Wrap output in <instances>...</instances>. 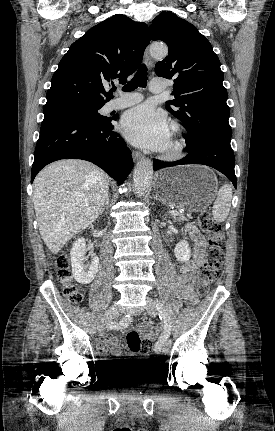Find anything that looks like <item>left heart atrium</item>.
Here are the masks:
<instances>
[{"label":"left heart atrium","mask_w":275,"mask_h":431,"mask_svg":"<svg viewBox=\"0 0 275 431\" xmlns=\"http://www.w3.org/2000/svg\"><path fill=\"white\" fill-rule=\"evenodd\" d=\"M120 130L132 144L152 150H163L170 134L165 115L146 104L127 111Z\"/></svg>","instance_id":"left-heart-atrium-1"}]
</instances>
